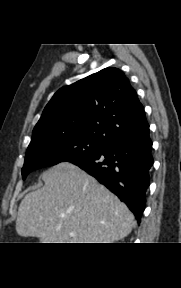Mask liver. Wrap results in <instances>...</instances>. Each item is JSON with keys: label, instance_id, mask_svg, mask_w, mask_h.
Here are the masks:
<instances>
[{"label": "liver", "instance_id": "6515ba94", "mask_svg": "<svg viewBox=\"0 0 181 288\" xmlns=\"http://www.w3.org/2000/svg\"><path fill=\"white\" fill-rule=\"evenodd\" d=\"M44 186L20 203L16 231L41 243H114L128 236L134 216L92 176L59 163L42 174Z\"/></svg>", "mask_w": 181, "mask_h": 288}]
</instances>
